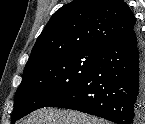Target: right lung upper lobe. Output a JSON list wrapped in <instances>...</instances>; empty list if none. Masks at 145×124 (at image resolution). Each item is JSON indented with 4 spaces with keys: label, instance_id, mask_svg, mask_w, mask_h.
<instances>
[{
    "label": "right lung upper lobe",
    "instance_id": "obj_1",
    "mask_svg": "<svg viewBox=\"0 0 145 124\" xmlns=\"http://www.w3.org/2000/svg\"><path fill=\"white\" fill-rule=\"evenodd\" d=\"M135 17L123 0H75L61 7L38 37L23 74L72 53H101L134 30Z\"/></svg>",
    "mask_w": 145,
    "mask_h": 124
}]
</instances>
